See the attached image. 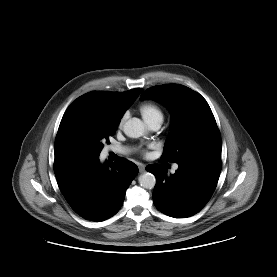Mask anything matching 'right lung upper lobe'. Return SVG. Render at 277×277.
Masks as SVG:
<instances>
[{
    "mask_svg": "<svg viewBox=\"0 0 277 277\" xmlns=\"http://www.w3.org/2000/svg\"><path fill=\"white\" fill-rule=\"evenodd\" d=\"M143 91L141 88L132 89L126 92H90L82 95L88 105L106 115L116 122H120L125 110L131 105L136 97ZM55 160L85 156L74 145L63 116L54 146ZM87 157V156H85Z\"/></svg>",
    "mask_w": 277,
    "mask_h": 277,
    "instance_id": "right-lung-upper-lobe-1",
    "label": "right lung upper lobe"
}]
</instances>
